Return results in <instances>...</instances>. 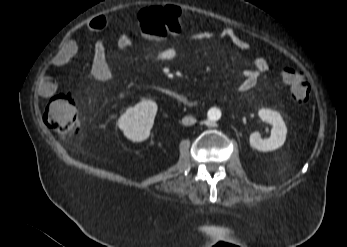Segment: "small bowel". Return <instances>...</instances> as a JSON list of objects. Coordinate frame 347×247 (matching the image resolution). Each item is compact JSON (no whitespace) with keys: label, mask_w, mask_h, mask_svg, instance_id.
I'll use <instances>...</instances> for the list:
<instances>
[{"label":"small bowel","mask_w":347,"mask_h":247,"mask_svg":"<svg viewBox=\"0 0 347 247\" xmlns=\"http://www.w3.org/2000/svg\"><path fill=\"white\" fill-rule=\"evenodd\" d=\"M109 24L105 16L95 17L86 24V29L90 32H97L105 29ZM178 38H187L191 40H215L228 41L238 51L246 53L250 49L249 43L239 35L234 29L222 27L217 29H201L190 34H185L181 30L174 32ZM132 46V41L128 34H122L118 40V47L121 50H127ZM78 44L74 39L64 42L61 48L53 56L50 65L56 68L67 64L77 53ZM177 56V50L173 46L164 48L159 55L161 62H171ZM253 68L244 74L236 89L239 92H245L257 85L260 73L269 69L267 60L263 57H256L252 60ZM91 73L93 77L100 81L111 80L114 76L113 69L106 59V48L103 43L95 44L92 50ZM37 88L41 95L45 97L52 96L57 90V84L54 78L48 73H42L37 79Z\"/></svg>","instance_id":"c3829d8e"}]
</instances>
